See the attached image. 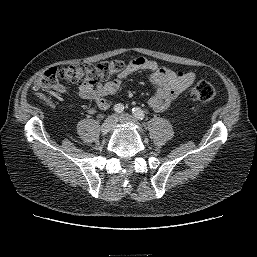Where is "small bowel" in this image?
I'll use <instances>...</instances> for the list:
<instances>
[{
  "label": "small bowel",
  "mask_w": 257,
  "mask_h": 257,
  "mask_svg": "<svg viewBox=\"0 0 257 257\" xmlns=\"http://www.w3.org/2000/svg\"><path fill=\"white\" fill-rule=\"evenodd\" d=\"M137 71L149 72L148 80L156 87L155 93L148 100V106L156 112L165 111L195 80V74L191 71H174L158 64L155 60L140 57L133 59L126 70L112 80L92 86L81 85L76 91L58 84L55 91L59 94H72L81 99L92 100L98 108L104 110L111 106L112 96L120 88L122 80ZM88 112L94 113L95 110L90 108Z\"/></svg>",
  "instance_id": "obj_1"
}]
</instances>
